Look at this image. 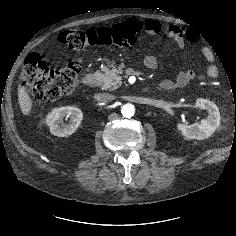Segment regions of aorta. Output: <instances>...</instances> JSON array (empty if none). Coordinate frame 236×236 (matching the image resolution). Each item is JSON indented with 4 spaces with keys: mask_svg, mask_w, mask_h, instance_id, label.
Returning a JSON list of instances; mask_svg holds the SVG:
<instances>
[{
    "mask_svg": "<svg viewBox=\"0 0 236 236\" xmlns=\"http://www.w3.org/2000/svg\"><path fill=\"white\" fill-rule=\"evenodd\" d=\"M121 113L126 118H131L135 114V107L131 103H127L122 106Z\"/></svg>",
    "mask_w": 236,
    "mask_h": 236,
    "instance_id": "762f6f07",
    "label": "aorta"
}]
</instances>
